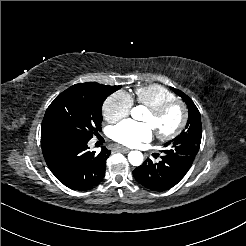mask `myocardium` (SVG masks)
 <instances>
[{
    "label": "myocardium",
    "mask_w": 246,
    "mask_h": 246,
    "mask_svg": "<svg viewBox=\"0 0 246 246\" xmlns=\"http://www.w3.org/2000/svg\"><path fill=\"white\" fill-rule=\"evenodd\" d=\"M173 108H179L181 111V117L178 122V124L175 126L174 129L167 133H156L157 138L160 141H170L176 138L185 128L187 121H188V110L186 105L179 101V100H173L168 101L166 103H163L162 105L156 107V108H150L148 109V113L153 119H159L162 116H164L166 113H168Z\"/></svg>",
    "instance_id": "obj_1"
}]
</instances>
